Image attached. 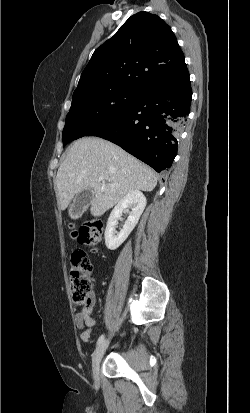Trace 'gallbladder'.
Listing matches in <instances>:
<instances>
[{
	"label": "gallbladder",
	"mask_w": 250,
	"mask_h": 413,
	"mask_svg": "<svg viewBox=\"0 0 250 413\" xmlns=\"http://www.w3.org/2000/svg\"><path fill=\"white\" fill-rule=\"evenodd\" d=\"M93 198L91 189L84 190L75 195L73 203L69 208V216L72 219H77L82 216L84 211L88 208Z\"/></svg>",
	"instance_id": "gallbladder-1"
}]
</instances>
